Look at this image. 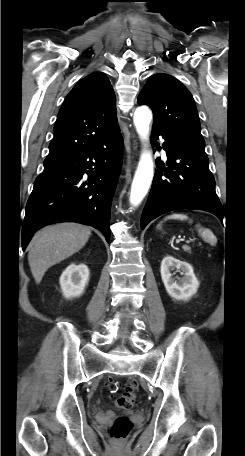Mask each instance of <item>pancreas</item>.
I'll return each mask as SVG.
<instances>
[{
	"instance_id": "obj_1",
	"label": "pancreas",
	"mask_w": 245,
	"mask_h": 456,
	"mask_svg": "<svg viewBox=\"0 0 245 456\" xmlns=\"http://www.w3.org/2000/svg\"><path fill=\"white\" fill-rule=\"evenodd\" d=\"M184 250L187 251V252H190L191 248L189 246H185Z\"/></svg>"
}]
</instances>
